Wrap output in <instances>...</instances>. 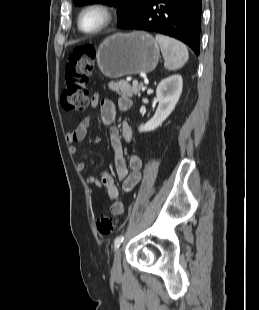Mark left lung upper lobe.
<instances>
[{
  "label": "left lung upper lobe",
  "instance_id": "1",
  "mask_svg": "<svg viewBox=\"0 0 259 310\" xmlns=\"http://www.w3.org/2000/svg\"><path fill=\"white\" fill-rule=\"evenodd\" d=\"M151 0H73L75 5L104 3L118 7V27L143 11Z\"/></svg>",
  "mask_w": 259,
  "mask_h": 310
}]
</instances>
